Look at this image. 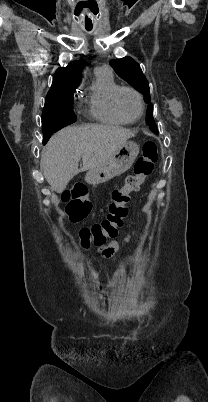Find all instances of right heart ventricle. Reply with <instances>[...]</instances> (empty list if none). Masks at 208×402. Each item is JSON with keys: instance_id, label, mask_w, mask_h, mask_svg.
Returning a JSON list of instances; mask_svg holds the SVG:
<instances>
[{"instance_id": "obj_1", "label": "right heart ventricle", "mask_w": 208, "mask_h": 402, "mask_svg": "<svg viewBox=\"0 0 208 402\" xmlns=\"http://www.w3.org/2000/svg\"><path fill=\"white\" fill-rule=\"evenodd\" d=\"M118 87L113 76L96 72L88 100L89 113L96 125L121 127L128 124L115 115L111 106L112 96Z\"/></svg>"}]
</instances>
